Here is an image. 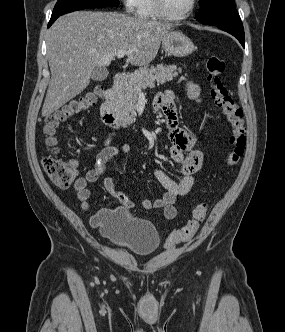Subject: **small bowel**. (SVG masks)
Listing matches in <instances>:
<instances>
[{
	"label": "small bowel",
	"instance_id": "1",
	"mask_svg": "<svg viewBox=\"0 0 285 332\" xmlns=\"http://www.w3.org/2000/svg\"><path fill=\"white\" fill-rule=\"evenodd\" d=\"M190 99L199 101L201 99V89L195 83H188L186 86ZM154 108L164 113L168 128V138L171 143L169 148L170 158L180 166L181 178L174 181L162 170L155 169L154 175L165 189L160 198L155 200L144 199L140 201V206L144 209H160L167 220H172L177 216L175 201L178 197L187 195L194 185V175L202 168L204 163L203 152L198 148V139L195 135L182 129L178 125L174 100L171 94H160L154 101ZM116 132H110L104 142L103 147L96 156L95 167L86 172L83 177H79L74 182V189L80 203V209L87 211L90 209V190L88 186L96 183L104 175L107 163L114 157L128 154L131 150L128 144L119 146L113 145ZM105 190L114 198L120 201L127 208H134L135 203L121 190L117 189L113 178L105 175L103 178ZM105 211H100L91 217V224L94 227L100 226L103 221Z\"/></svg>",
	"mask_w": 285,
	"mask_h": 332
}]
</instances>
